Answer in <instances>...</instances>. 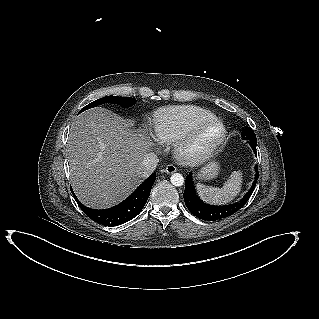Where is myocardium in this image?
Returning a JSON list of instances; mask_svg holds the SVG:
<instances>
[{"mask_svg": "<svg viewBox=\"0 0 319 319\" xmlns=\"http://www.w3.org/2000/svg\"><path fill=\"white\" fill-rule=\"evenodd\" d=\"M212 127L218 128V134L207 143L199 145L203 134ZM226 136V126L218 118L214 117L201 121L176 141L175 155L184 164H202L212 158L224 142Z\"/></svg>", "mask_w": 319, "mask_h": 319, "instance_id": "myocardium-1", "label": "myocardium"}]
</instances>
